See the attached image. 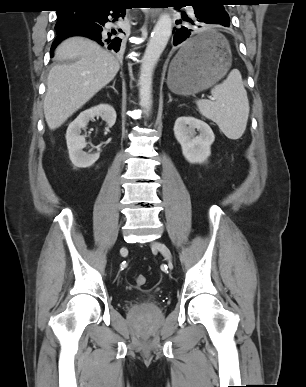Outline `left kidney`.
I'll use <instances>...</instances> for the list:
<instances>
[{
    "label": "left kidney",
    "instance_id": "5707ae66",
    "mask_svg": "<svg viewBox=\"0 0 306 387\" xmlns=\"http://www.w3.org/2000/svg\"><path fill=\"white\" fill-rule=\"evenodd\" d=\"M196 129L199 135H196ZM174 135L189 163L201 164L207 161L215 139L207 123L191 116H181L175 121Z\"/></svg>",
    "mask_w": 306,
    "mask_h": 387
}]
</instances>
